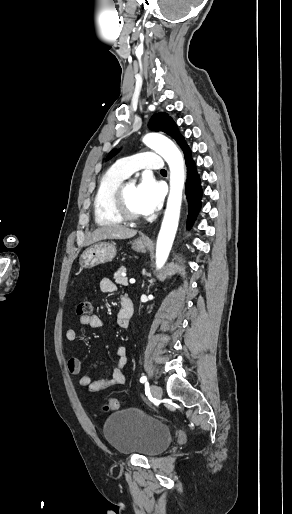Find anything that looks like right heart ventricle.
I'll list each match as a JSON object with an SVG mask.
<instances>
[{
	"label": "right heart ventricle",
	"instance_id": "right-heart-ventricle-1",
	"mask_svg": "<svg viewBox=\"0 0 292 514\" xmlns=\"http://www.w3.org/2000/svg\"><path fill=\"white\" fill-rule=\"evenodd\" d=\"M126 178L113 169L101 177L93 198V215L98 225L119 224L122 220L111 210L110 196L112 191Z\"/></svg>",
	"mask_w": 292,
	"mask_h": 514
}]
</instances>
